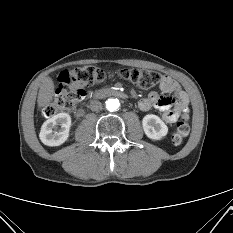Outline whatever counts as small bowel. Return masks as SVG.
<instances>
[{"mask_svg":"<svg viewBox=\"0 0 233 233\" xmlns=\"http://www.w3.org/2000/svg\"><path fill=\"white\" fill-rule=\"evenodd\" d=\"M159 87L171 96L164 97L158 92H151L148 97L139 101V108L142 111L158 110L162 120L168 124L185 118L189 113V98L181 86L171 77L164 76Z\"/></svg>","mask_w":233,"mask_h":233,"instance_id":"small-bowel-1","label":"small bowel"}]
</instances>
